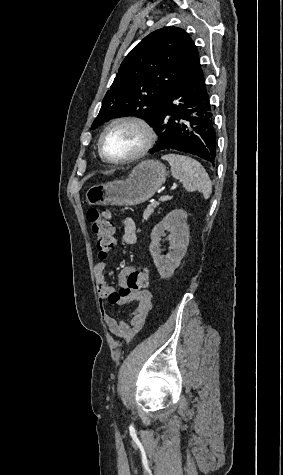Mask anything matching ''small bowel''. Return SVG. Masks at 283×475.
<instances>
[{"mask_svg":"<svg viewBox=\"0 0 283 475\" xmlns=\"http://www.w3.org/2000/svg\"><path fill=\"white\" fill-rule=\"evenodd\" d=\"M122 241L125 245H134L137 242V227L135 221L126 217L122 220ZM127 266L119 272V280L127 278L129 269ZM104 262H98L93 269L95 288L98 296L101 317L109 328L112 335L131 341L142 329L149 312L153 307L152 294L148 291H141L140 296H128V300H123L118 289L108 284L105 278ZM136 302V308L127 316L121 318L113 317L107 310V305H122Z\"/></svg>","mask_w":283,"mask_h":475,"instance_id":"small-bowel-1","label":"small bowel"}]
</instances>
